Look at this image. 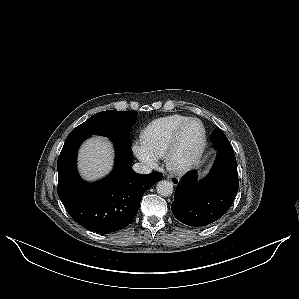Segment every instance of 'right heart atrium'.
I'll return each instance as SVG.
<instances>
[{
  "label": "right heart atrium",
  "mask_w": 299,
  "mask_h": 299,
  "mask_svg": "<svg viewBox=\"0 0 299 299\" xmlns=\"http://www.w3.org/2000/svg\"><path fill=\"white\" fill-rule=\"evenodd\" d=\"M135 156L144 164L150 167H156L158 165L159 158L151 153L148 148L141 141H136L132 147Z\"/></svg>",
  "instance_id": "obj_1"
}]
</instances>
